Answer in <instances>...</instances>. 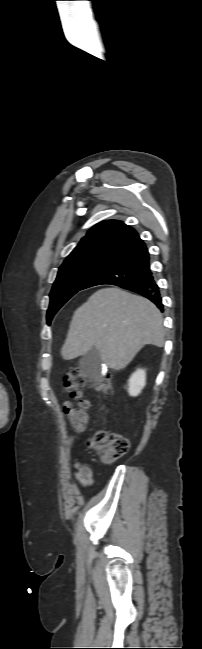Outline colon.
<instances>
[{
  "label": "colon",
  "instance_id": "5ec220e1",
  "mask_svg": "<svg viewBox=\"0 0 202 649\" xmlns=\"http://www.w3.org/2000/svg\"><path fill=\"white\" fill-rule=\"evenodd\" d=\"M64 384L72 396L79 400L77 406L71 402H65L64 413L73 427L82 431L89 421V402L83 397V389L87 380L78 370L72 369L66 373ZM91 387L100 394L108 395L112 392V378L108 375L101 376L91 383ZM129 445V439L125 435L105 430L96 431L89 441V446L105 463L114 462L125 455Z\"/></svg>",
  "mask_w": 202,
  "mask_h": 649
}]
</instances>
